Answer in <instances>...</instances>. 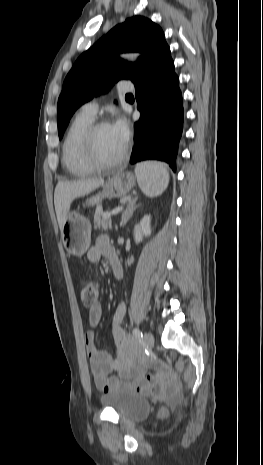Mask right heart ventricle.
<instances>
[{"mask_svg":"<svg viewBox=\"0 0 263 465\" xmlns=\"http://www.w3.org/2000/svg\"><path fill=\"white\" fill-rule=\"evenodd\" d=\"M94 118L78 113L69 125L62 144V163L69 174L83 177L92 174V168L84 159L81 139Z\"/></svg>","mask_w":263,"mask_h":465,"instance_id":"e07e8e85","label":"right heart ventricle"}]
</instances>
